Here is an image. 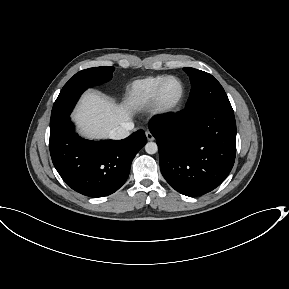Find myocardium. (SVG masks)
<instances>
[{
  "instance_id": "1",
  "label": "myocardium",
  "mask_w": 289,
  "mask_h": 289,
  "mask_svg": "<svg viewBox=\"0 0 289 289\" xmlns=\"http://www.w3.org/2000/svg\"><path fill=\"white\" fill-rule=\"evenodd\" d=\"M170 80H175L180 84V94L176 100L172 102H165L162 94L166 83ZM186 94V89L183 81L177 76H166L158 85L152 100L153 110L159 115H168L176 112L182 105Z\"/></svg>"
}]
</instances>
